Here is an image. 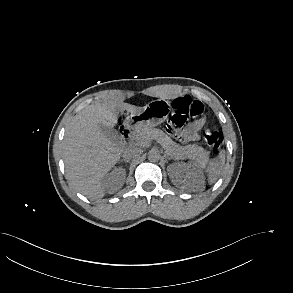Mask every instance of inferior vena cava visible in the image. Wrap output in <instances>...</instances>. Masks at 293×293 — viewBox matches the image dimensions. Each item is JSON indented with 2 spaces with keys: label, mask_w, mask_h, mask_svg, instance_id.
<instances>
[{
  "label": "inferior vena cava",
  "mask_w": 293,
  "mask_h": 293,
  "mask_svg": "<svg viewBox=\"0 0 293 293\" xmlns=\"http://www.w3.org/2000/svg\"><path fill=\"white\" fill-rule=\"evenodd\" d=\"M141 153H142V150L140 148L133 147V148H130V149H127L126 151H124L123 157L126 160H130L132 158H136V157L140 156Z\"/></svg>",
  "instance_id": "602c4592"
}]
</instances>
